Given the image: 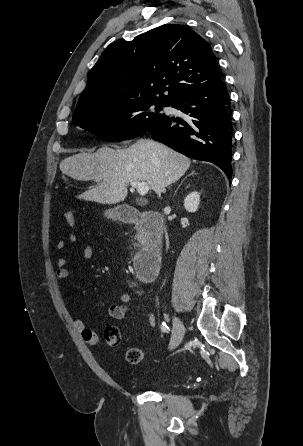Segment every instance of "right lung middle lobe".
Wrapping results in <instances>:
<instances>
[{
    "instance_id": "1",
    "label": "right lung middle lobe",
    "mask_w": 303,
    "mask_h": 446,
    "mask_svg": "<svg viewBox=\"0 0 303 446\" xmlns=\"http://www.w3.org/2000/svg\"><path fill=\"white\" fill-rule=\"evenodd\" d=\"M155 105L156 111L149 108ZM161 104L138 100L123 104L105 105L73 115L72 122L106 141H122L138 137L147 132L164 114L159 111Z\"/></svg>"
}]
</instances>
